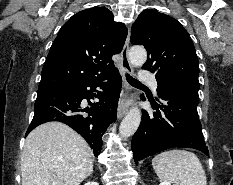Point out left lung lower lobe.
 <instances>
[{"instance_id":"obj_1","label":"left lung lower lobe","mask_w":233,"mask_h":185,"mask_svg":"<svg viewBox=\"0 0 233 185\" xmlns=\"http://www.w3.org/2000/svg\"><path fill=\"white\" fill-rule=\"evenodd\" d=\"M199 85L176 83L158 86L163 103L156 104V113L143 110L142 122L131 142L134 161L172 148H194L209 155L201 131L197 105ZM145 100L144 97H142Z\"/></svg>"}]
</instances>
